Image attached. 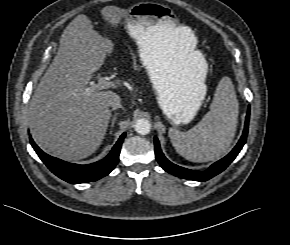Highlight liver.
Segmentation results:
<instances>
[{"label":"liver","mask_w":290,"mask_h":245,"mask_svg":"<svg viewBox=\"0 0 290 245\" xmlns=\"http://www.w3.org/2000/svg\"><path fill=\"white\" fill-rule=\"evenodd\" d=\"M102 16L110 24L122 19L121 12L111 8L104 9ZM172 48L179 65L196 53L191 44H172ZM113 49L112 40L95 32L86 15H79L65 29L61 47L29 106L32 134L46 151L80 160L100 146L111 117L110 103L120 97L112 90L90 91L89 87Z\"/></svg>","instance_id":"liver-1"}]
</instances>
